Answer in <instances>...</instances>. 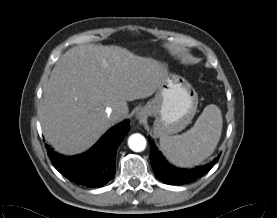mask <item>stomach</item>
Listing matches in <instances>:
<instances>
[{
  "label": "stomach",
  "mask_w": 277,
  "mask_h": 218,
  "mask_svg": "<svg viewBox=\"0 0 277 218\" xmlns=\"http://www.w3.org/2000/svg\"><path fill=\"white\" fill-rule=\"evenodd\" d=\"M198 95L183 77L168 74L154 98L142 109V116L155 117L153 133L157 137L182 131L196 114Z\"/></svg>",
  "instance_id": "0dacf381"
}]
</instances>
